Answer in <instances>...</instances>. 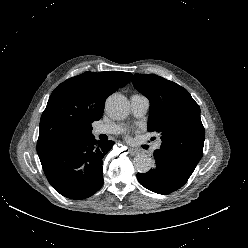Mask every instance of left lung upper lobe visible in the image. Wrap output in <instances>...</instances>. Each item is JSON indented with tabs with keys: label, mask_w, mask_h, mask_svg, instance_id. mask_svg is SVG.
Returning a JSON list of instances; mask_svg holds the SVG:
<instances>
[{
	"label": "left lung upper lobe",
	"mask_w": 248,
	"mask_h": 248,
	"mask_svg": "<svg viewBox=\"0 0 248 248\" xmlns=\"http://www.w3.org/2000/svg\"><path fill=\"white\" fill-rule=\"evenodd\" d=\"M134 87L150 101L148 131L161 134L158 151L194 171L203 155L200 107L180 85L154 74H135Z\"/></svg>",
	"instance_id": "5c2ea615"
}]
</instances>
